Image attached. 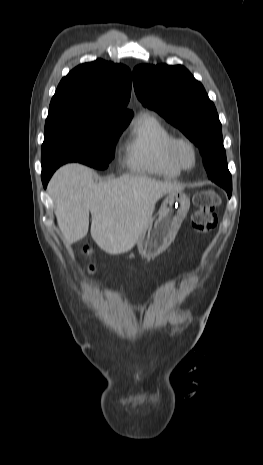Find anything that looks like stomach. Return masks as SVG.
<instances>
[{"instance_id": "0dacf381", "label": "stomach", "mask_w": 263, "mask_h": 465, "mask_svg": "<svg viewBox=\"0 0 263 465\" xmlns=\"http://www.w3.org/2000/svg\"><path fill=\"white\" fill-rule=\"evenodd\" d=\"M190 208V199L183 192H170L158 213L145 225L136 241L139 253L153 259L164 252L174 240Z\"/></svg>"}]
</instances>
